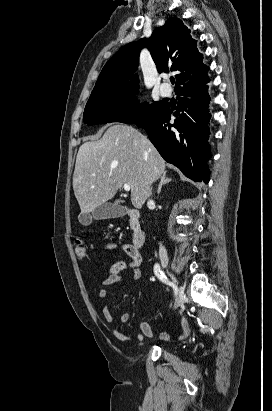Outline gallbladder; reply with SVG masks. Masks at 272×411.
<instances>
[{
	"label": "gallbladder",
	"instance_id": "gallbladder-1",
	"mask_svg": "<svg viewBox=\"0 0 272 411\" xmlns=\"http://www.w3.org/2000/svg\"><path fill=\"white\" fill-rule=\"evenodd\" d=\"M127 213V208L121 205V201L117 200L114 203L105 202L104 204L95 208L91 216L89 214H81L79 216V222L88 226L91 223V218L95 220H104L111 218H119Z\"/></svg>",
	"mask_w": 272,
	"mask_h": 411
}]
</instances>
